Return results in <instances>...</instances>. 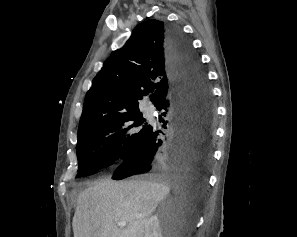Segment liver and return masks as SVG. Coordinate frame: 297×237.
Masks as SVG:
<instances>
[{
	"instance_id": "1",
	"label": "liver",
	"mask_w": 297,
	"mask_h": 237,
	"mask_svg": "<svg viewBox=\"0 0 297 237\" xmlns=\"http://www.w3.org/2000/svg\"><path fill=\"white\" fill-rule=\"evenodd\" d=\"M184 179L183 185L190 182ZM169 192L163 178L94 182L78 196L74 237H143L147 221ZM123 221L125 228L117 226Z\"/></svg>"
}]
</instances>
